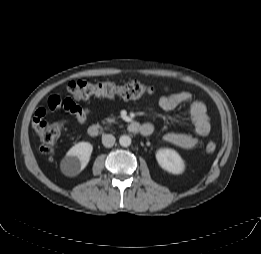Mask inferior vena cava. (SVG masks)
Masks as SVG:
<instances>
[{
  "instance_id": "602c4592",
  "label": "inferior vena cava",
  "mask_w": 261,
  "mask_h": 254,
  "mask_svg": "<svg viewBox=\"0 0 261 254\" xmlns=\"http://www.w3.org/2000/svg\"><path fill=\"white\" fill-rule=\"evenodd\" d=\"M115 143V137L111 134H105L102 136V144L105 147H112Z\"/></svg>"
}]
</instances>
